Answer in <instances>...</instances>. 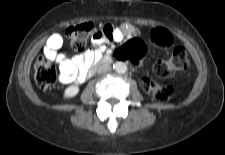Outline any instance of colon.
<instances>
[{
    "mask_svg": "<svg viewBox=\"0 0 225 155\" xmlns=\"http://www.w3.org/2000/svg\"><path fill=\"white\" fill-rule=\"evenodd\" d=\"M92 32L93 24L84 22L69 27L66 30V38L74 51L82 52ZM147 39L150 44L162 47L171 46L174 42L170 31L162 27L152 29ZM144 52V41L141 37L136 36L118 49L115 56L120 61L127 58L128 63L135 66L143 58ZM188 66L189 58L187 51L184 47L178 46L174 49L170 59L157 62L154 65L153 71L157 77L167 79L176 72L186 70ZM34 78L41 89H48L54 85L58 79L57 70L50 60L39 57L34 63ZM147 90L155 101L161 103L169 101L173 94L171 87L160 85L150 79L147 80Z\"/></svg>",
    "mask_w": 225,
    "mask_h": 155,
    "instance_id": "5ec220e1",
    "label": "colon"
}]
</instances>
